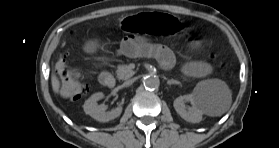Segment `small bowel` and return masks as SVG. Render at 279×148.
Masks as SVG:
<instances>
[{"instance_id": "1", "label": "small bowel", "mask_w": 279, "mask_h": 148, "mask_svg": "<svg viewBox=\"0 0 279 148\" xmlns=\"http://www.w3.org/2000/svg\"><path fill=\"white\" fill-rule=\"evenodd\" d=\"M88 48L90 50L93 49V44L88 45ZM120 49L122 54L130 58L154 57L164 68H170L174 63V57L166 46L140 36H126L121 43ZM184 71L188 75L201 77L209 74L211 67L205 62H191L185 65Z\"/></svg>"}]
</instances>
